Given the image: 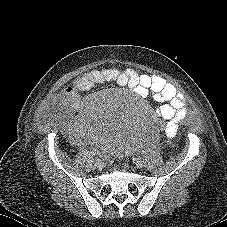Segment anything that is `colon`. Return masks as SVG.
Here are the masks:
<instances>
[{
	"mask_svg": "<svg viewBox=\"0 0 227 227\" xmlns=\"http://www.w3.org/2000/svg\"><path fill=\"white\" fill-rule=\"evenodd\" d=\"M175 130L178 134L180 135H185L189 132L190 127L187 123L185 122H180L176 125Z\"/></svg>",
	"mask_w": 227,
	"mask_h": 227,
	"instance_id": "5ec220e1",
	"label": "colon"
}]
</instances>
